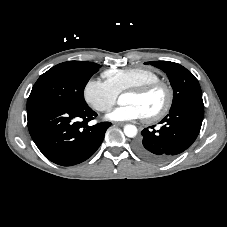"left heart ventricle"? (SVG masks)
<instances>
[{
    "instance_id": "b2bd125f",
    "label": "left heart ventricle",
    "mask_w": 227,
    "mask_h": 227,
    "mask_svg": "<svg viewBox=\"0 0 227 227\" xmlns=\"http://www.w3.org/2000/svg\"><path fill=\"white\" fill-rule=\"evenodd\" d=\"M165 101V93L163 90H155L145 96H136L133 94H124L121 102L123 104H133L140 108L143 115H150L157 112Z\"/></svg>"
}]
</instances>
